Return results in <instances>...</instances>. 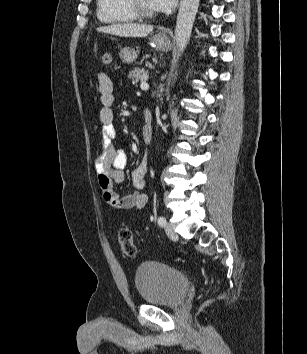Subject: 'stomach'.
Returning a JSON list of instances; mask_svg holds the SVG:
<instances>
[{"label": "stomach", "instance_id": "stomach-1", "mask_svg": "<svg viewBox=\"0 0 307 354\" xmlns=\"http://www.w3.org/2000/svg\"><path fill=\"white\" fill-rule=\"evenodd\" d=\"M151 45L160 51H168L170 49V39L165 33H158L150 39ZM119 56L124 63H132L137 58V52L129 47L122 48Z\"/></svg>", "mask_w": 307, "mask_h": 354}]
</instances>
